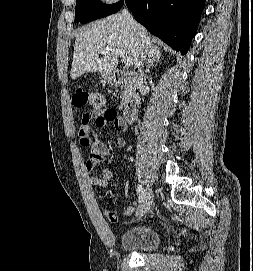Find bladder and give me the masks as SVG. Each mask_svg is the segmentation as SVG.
<instances>
[{"label": "bladder", "instance_id": "31cf9c89", "mask_svg": "<svg viewBox=\"0 0 253 271\" xmlns=\"http://www.w3.org/2000/svg\"><path fill=\"white\" fill-rule=\"evenodd\" d=\"M163 243V235L155 227L137 226L125 232L120 245L126 251L151 252Z\"/></svg>", "mask_w": 253, "mask_h": 271}]
</instances>
